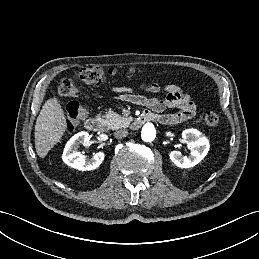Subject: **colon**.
Wrapping results in <instances>:
<instances>
[{"instance_id": "1", "label": "colon", "mask_w": 259, "mask_h": 259, "mask_svg": "<svg viewBox=\"0 0 259 259\" xmlns=\"http://www.w3.org/2000/svg\"><path fill=\"white\" fill-rule=\"evenodd\" d=\"M140 72V70L136 69L129 71L131 75ZM114 74L115 71L113 69L104 70L101 67H84L76 73L75 78L77 81L88 85H100ZM58 92L65 97H77L79 95V88L73 79L66 78L59 84ZM88 113L89 109L87 106L77 101L70 102L65 108L66 128L72 130L88 116ZM219 120V114L215 111H209L205 115V122L209 126L217 125Z\"/></svg>"}]
</instances>
